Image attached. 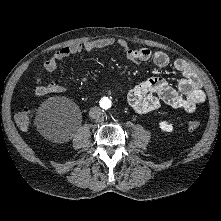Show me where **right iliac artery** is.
Masks as SVG:
<instances>
[{
  "mask_svg": "<svg viewBox=\"0 0 221 221\" xmlns=\"http://www.w3.org/2000/svg\"><path fill=\"white\" fill-rule=\"evenodd\" d=\"M102 105H104V104H103V101H102V102L100 101V106H102Z\"/></svg>",
  "mask_w": 221,
  "mask_h": 221,
  "instance_id": "right-iliac-artery-1",
  "label": "right iliac artery"
}]
</instances>
